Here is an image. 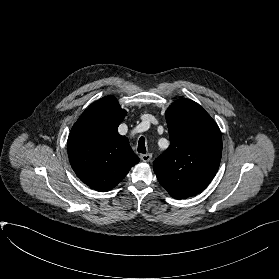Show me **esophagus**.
I'll return each instance as SVG.
<instances>
[{
  "label": "esophagus",
  "mask_w": 279,
  "mask_h": 279,
  "mask_svg": "<svg viewBox=\"0 0 279 279\" xmlns=\"http://www.w3.org/2000/svg\"><path fill=\"white\" fill-rule=\"evenodd\" d=\"M140 158H141V160H142L143 162H149V161L151 160V158H152V154H150V153L142 154V155L140 156Z\"/></svg>",
  "instance_id": "obj_1"
}]
</instances>
